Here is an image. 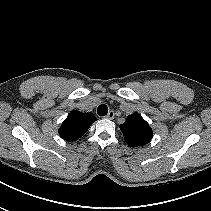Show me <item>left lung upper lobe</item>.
<instances>
[{"instance_id": "1", "label": "left lung upper lobe", "mask_w": 211, "mask_h": 211, "mask_svg": "<svg viewBox=\"0 0 211 211\" xmlns=\"http://www.w3.org/2000/svg\"><path fill=\"white\" fill-rule=\"evenodd\" d=\"M126 143L131 147L143 146L150 142L153 136L149 124L139 113H133L120 125Z\"/></svg>"}]
</instances>
